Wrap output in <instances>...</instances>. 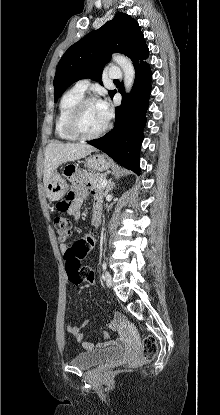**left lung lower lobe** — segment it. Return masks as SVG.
Wrapping results in <instances>:
<instances>
[{
    "instance_id": "left-lung-lower-lobe-1",
    "label": "left lung lower lobe",
    "mask_w": 220,
    "mask_h": 415,
    "mask_svg": "<svg viewBox=\"0 0 220 415\" xmlns=\"http://www.w3.org/2000/svg\"><path fill=\"white\" fill-rule=\"evenodd\" d=\"M134 68L135 81L130 95L126 97L124 88L119 90L123 98L121 105L116 107L113 130L88 143L139 175V153L151 93L152 72L144 61L135 64ZM115 93L114 90L110 96L113 97Z\"/></svg>"
}]
</instances>
